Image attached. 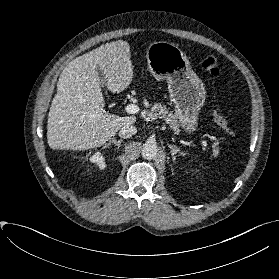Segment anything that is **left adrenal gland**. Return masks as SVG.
Wrapping results in <instances>:
<instances>
[{"mask_svg":"<svg viewBox=\"0 0 279 279\" xmlns=\"http://www.w3.org/2000/svg\"><path fill=\"white\" fill-rule=\"evenodd\" d=\"M168 145V147L171 149V155L173 156V161H175L176 160V154L177 153H179L180 155H182V156H185V153L184 152H182L177 146H175V145H171V144H167Z\"/></svg>","mask_w":279,"mask_h":279,"instance_id":"left-adrenal-gland-1","label":"left adrenal gland"}]
</instances>
